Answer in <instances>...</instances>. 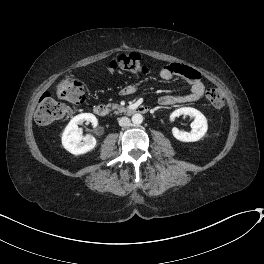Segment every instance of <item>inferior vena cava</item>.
I'll use <instances>...</instances> for the list:
<instances>
[{"label":"inferior vena cava","instance_id":"602c4592","mask_svg":"<svg viewBox=\"0 0 264 264\" xmlns=\"http://www.w3.org/2000/svg\"><path fill=\"white\" fill-rule=\"evenodd\" d=\"M120 126L125 127L130 125V119L128 117H121L118 120Z\"/></svg>","mask_w":264,"mask_h":264}]
</instances>
